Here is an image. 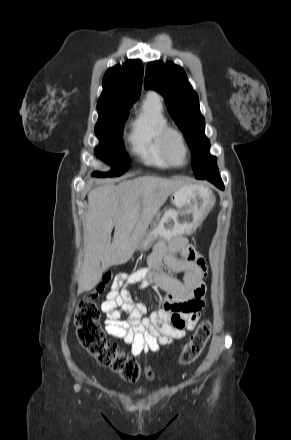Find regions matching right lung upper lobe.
Masks as SVG:
<instances>
[{
  "label": "right lung upper lobe",
  "instance_id": "obj_1",
  "mask_svg": "<svg viewBox=\"0 0 291 440\" xmlns=\"http://www.w3.org/2000/svg\"><path fill=\"white\" fill-rule=\"evenodd\" d=\"M142 78L143 65L140 60H129L122 66L109 68L103 78V91L97 108L131 107L139 98Z\"/></svg>",
  "mask_w": 291,
  "mask_h": 440
}]
</instances>
